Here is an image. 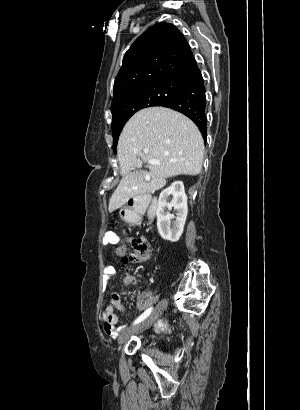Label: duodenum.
I'll use <instances>...</instances> for the list:
<instances>
[{"label":"duodenum","mask_w":300,"mask_h":410,"mask_svg":"<svg viewBox=\"0 0 300 410\" xmlns=\"http://www.w3.org/2000/svg\"><path fill=\"white\" fill-rule=\"evenodd\" d=\"M158 205L148 198H135L129 207L128 222L137 223L143 216L153 218L157 212Z\"/></svg>","instance_id":"duodenum-1"}]
</instances>
